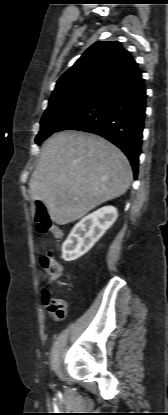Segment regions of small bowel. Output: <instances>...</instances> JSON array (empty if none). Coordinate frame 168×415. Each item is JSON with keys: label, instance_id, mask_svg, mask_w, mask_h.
<instances>
[{"label": "small bowel", "instance_id": "c3829d8e", "mask_svg": "<svg viewBox=\"0 0 168 415\" xmlns=\"http://www.w3.org/2000/svg\"><path fill=\"white\" fill-rule=\"evenodd\" d=\"M42 302L49 313L56 319L61 320L65 317V303L63 300L53 298L49 289L42 290Z\"/></svg>", "mask_w": 168, "mask_h": 415}]
</instances>
